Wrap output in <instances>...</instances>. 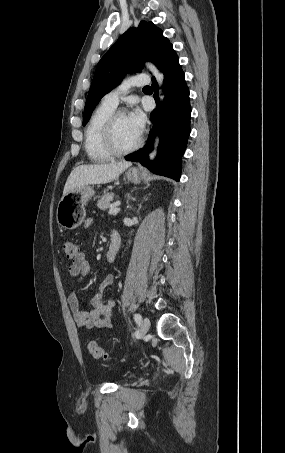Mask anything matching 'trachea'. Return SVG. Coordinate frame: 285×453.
<instances>
[{
	"instance_id": "obj_1",
	"label": "trachea",
	"mask_w": 285,
	"mask_h": 453,
	"mask_svg": "<svg viewBox=\"0 0 285 453\" xmlns=\"http://www.w3.org/2000/svg\"><path fill=\"white\" fill-rule=\"evenodd\" d=\"M150 86H145L144 88H149Z\"/></svg>"
}]
</instances>
